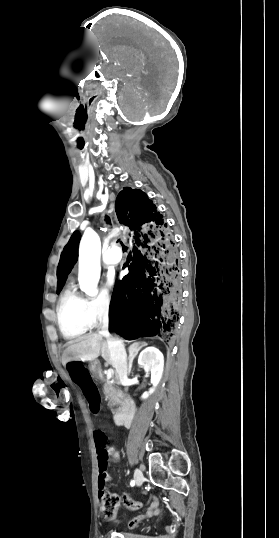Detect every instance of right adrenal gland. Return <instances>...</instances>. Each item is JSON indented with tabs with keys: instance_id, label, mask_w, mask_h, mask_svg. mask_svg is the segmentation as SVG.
Here are the masks:
<instances>
[{
	"instance_id": "obj_1",
	"label": "right adrenal gland",
	"mask_w": 279,
	"mask_h": 538,
	"mask_svg": "<svg viewBox=\"0 0 279 538\" xmlns=\"http://www.w3.org/2000/svg\"><path fill=\"white\" fill-rule=\"evenodd\" d=\"M145 346H147V344H145ZM140 348H143V346H130V348H128V352H129V356H128V360H129L128 374H130V372H131L132 362H133L135 356H137L138 350H140Z\"/></svg>"
}]
</instances>
